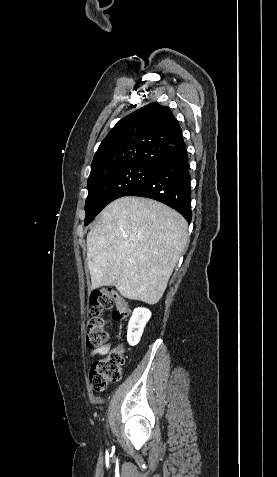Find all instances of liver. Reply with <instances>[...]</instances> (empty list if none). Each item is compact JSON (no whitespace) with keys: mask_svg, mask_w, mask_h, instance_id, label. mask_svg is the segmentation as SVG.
<instances>
[{"mask_svg":"<svg viewBox=\"0 0 277 477\" xmlns=\"http://www.w3.org/2000/svg\"><path fill=\"white\" fill-rule=\"evenodd\" d=\"M187 228L178 212L158 201H113L87 235L91 289L115 286L125 298L156 304L185 250Z\"/></svg>","mask_w":277,"mask_h":477,"instance_id":"1","label":"liver"}]
</instances>
